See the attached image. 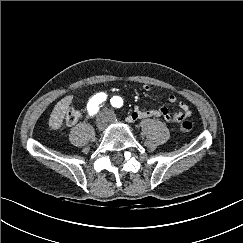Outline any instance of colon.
Instances as JSON below:
<instances>
[{"label":"colon","instance_id":"obj_1","mask_svg":"<svg viewBox=\"0 0 243 243\" xmlns=\"http://www.w3.org/2000/svg\"><path fill=\"white\" fill-rule=\"evenodd\" d=\"M79 118H80L79 111L75 109H70L65 116V123L67 125H73L79 120ZM191 129H192V123L190 121L184 120L181 122L180 124L181 132L188 133L191 131Z\"/></svg>","mask_w":243,"mask_h":243}]
</instances>
